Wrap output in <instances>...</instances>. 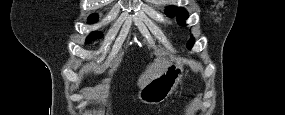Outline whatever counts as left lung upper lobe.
<instances>
[{
	"label": "left lung upper lobe",
	"mask_w": 285,
	"mask_h": 115,
	"mask_svg": "<svg viewBox=\"0 0 285 115\" xmlns=\"http://www.w3.org/2000/svg\"><path fill=\"white\" fill-rule=\"evenodd\" d=\"M165 14L170 17L177 16V22L182 26H186L185 20L188 18V13L184 8L170 6L165 10ZM193 44H194V38L192 37L187 43V48L190 49L193 46Z\"/></svg>",
	"instance_id": "1"
}]
</instances>
